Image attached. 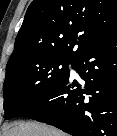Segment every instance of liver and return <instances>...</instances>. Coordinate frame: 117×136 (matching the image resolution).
Segmentation results:
<instances>
[{
  "label": "liver",
  "mask_w": 117,
  "mask_h": 136,
  "mask_svg": "<svg viewBox=\"0 0 117 136\" xmlns=\"http://www.w3.org/2000/svg\"><path fill=\"white\" fill-rule=\"evenodd\" d=\"M4 136H68V134L43 123L26 122L8 128Z\"/></svg>",
  "instance_id": "obj_1"
}]
</instances>
